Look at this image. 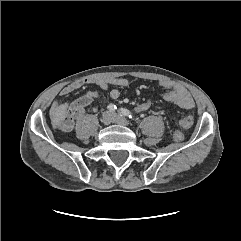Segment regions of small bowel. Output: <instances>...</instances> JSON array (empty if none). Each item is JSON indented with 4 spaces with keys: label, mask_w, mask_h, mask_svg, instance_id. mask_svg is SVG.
<instances>
[{
    "label": "small bowel",
    "mask_w": 241,
    "mask_h": 241,
    "mask_svg": "<svg viewBox=\"0 0 241 241\" xmlns=\"http://www.w3.org/2000/svg\"><path fill=\"white\" fill-rule=\"evenodd\" d=\"M129 81L126 78H99V79H84L77 80L67 86H65L61 91V96H67L73 91L83 87L87 84H95L103 90H109V96L116 100L120 96L119 88L127 86ZM158 85L165 90L164 99L179 108L190 110L195 106L194 100L190 93L181 85L174 83L169 80H160ZM110 86L113 88L109 89ZM99 94L95 91H90L86 93L80 99L74 101L71 104H59L56 108L65 110L67 113L71 112V115L75 119L82 118L88 108H90L93 103L98 99ZM73 128V121L69 126L64 127L63 131H70Z\"/></svg>",
    "instance_id": "obj_1"
}]
</instances>
